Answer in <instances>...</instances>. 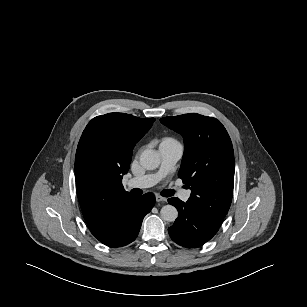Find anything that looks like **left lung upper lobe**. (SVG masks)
<instances>
[{
    "label": "left lung upper lobe",
    "mask_w": 307,
    "mask_h": 307,
    "mask_svg": "<svg viewBox=\"0 0 307 307\" xmlns=\"http://www.w3.org/2000/svg\"><path fill=\"white\" fill-rule=\"evenodd\" d=\"M184 138V155L178 176L192 190L187 204L220 225L227 214L234 187V152L224 126L197 113L160 119Z\"/></svg>",
    "instance_id": "1"
}]
</instances>
